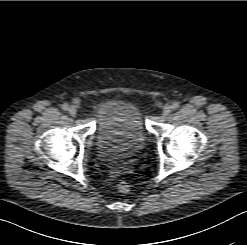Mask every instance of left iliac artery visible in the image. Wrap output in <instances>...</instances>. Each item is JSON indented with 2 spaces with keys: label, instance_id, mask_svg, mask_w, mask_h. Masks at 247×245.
Segmentation results:
<instances>
[{
  "label": "left iliac artery",
  "instance_id": "44dca946",
  "mask_svg": "<svg viewBox=\"0 0 247 245\" xmlns=\"http://www.w3.org/2000/svg\"><path fill=\"white\" fill-rule=\"evenodd\" d=\"M179 106H180L179 102H173V104H172V108L175 109V110L178 109Z\"/></svg>",
  "mask_w": 247,
  "mask_h": 245
}]
</instances>
